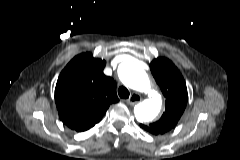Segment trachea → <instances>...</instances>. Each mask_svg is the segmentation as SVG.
I'll use <instances>...</instances> for the list:
<instances>
[{"mask_svg": "<svg viewBox=\"0 0 240 160\" xmlns=\"http://www.w3.org/2000/svg\"><path fill=\"white\" fill-rule=\"evenodd\" d=\"M118 94L122 99H127L129 98L130 92L126 87L121 86L118 89Z\"/></svg>", "mask_w": 240, "mask_h": 160, "instance_id": "trachea-1", "label": "trachea"}]
</instances>
